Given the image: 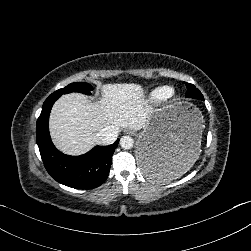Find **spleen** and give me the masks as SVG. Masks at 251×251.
<instances>
[{"label": "spleen", "instance_id": "3e777b00", "mask_svg": "<svg viewBox=\"0 0 251 251\" xmlns=\"http://www.w3.org/2000/svg\"><path fill=\"white\" fill-rule=\"evenodd\" d=\"M191 167V164L188 163H183L182 167L178 170L177 173L172 174L169 173L165 168L162 166L158 165L157 163L151 162L149 165V175L148 178H153V179H161L164 182H168L171 179L174 178H179L184 174L186 171H188Z\"/></svg>", "mask_w": 251, "mask_h": 251}]
</instances>
